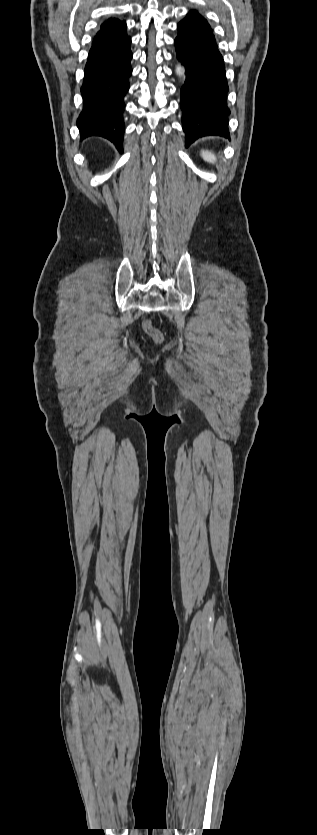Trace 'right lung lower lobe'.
Returning <instances> with one entry per match:
<instances>
[{
    "instance_id": "right-lung-lower-lobe-1",
    "label": "right lung lower lobe",
    "mask_w": 317,
    "mask_h": 835,
    "mask_svg": "<svg viewBox=\"0 0 317 835\" xmlns=\"http://www.w3.org/2000/svg\"><path fill=\"white\" fill-rule=\"evenodd\" d=\"M131 39L110 40L96 34L89 52L81 87L83 111L77 119L81 139L101 136L122 152L124 96L132 74Z\"/></svg>"
}]
</instances>
